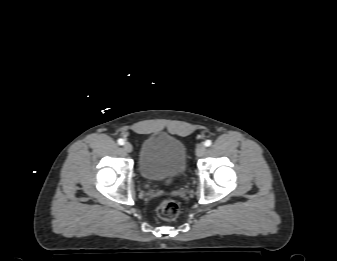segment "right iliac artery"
<instances>
[{
  "instance_id": "obj_1",
  "label": "right iliac artery",
  "mask_w": 337,
  "mask_h": 261,
  "mask_svg": "<svg viewBox=\"0 0 337 261\" xmlns=\"http://www.w3.org/2000/svg\"><path fill=\"white\" fill-rule=\"evenodd\" d=\"M125 142H124V140L123 139H118V144L119 145H123Z\"/></svg>"
}]
</instances>
